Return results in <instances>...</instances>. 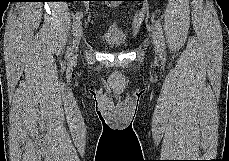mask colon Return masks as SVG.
I'll use <instances>...</instances> for the list:
<instances>
[{"instance_id":"1","label":"colon","mask_w":229,"mask_h":161,"mask_svg":"<svg viewBox=\"0 0 229 161\" xmlns=\"http://www.w3.org/2000/svg\"><path fill=\"white\" fill-rule=\"evenodd\" d=\"M130 1H143V0H130Z\"/></svg>"}]
</instances>
